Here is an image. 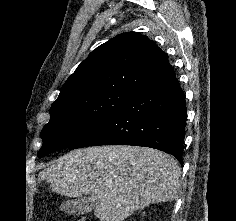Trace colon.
Instances as JSON below:
<instances>
[{
	"label": "colon",
	"mask_w": 236,
	"mask_h": 221,
	"mask_svg": "<svg viewBox=\"0 0 236 221\" xmlns=\"http://www.w3.org/2000/svg\"><path fill=\"white\" fill-rule=\"evenodd\" d=\"M71 221H91L90 219L86 218V217H81V218H76V219H73Z\"/></svg>",
	"instance_id": "obj_1"
}]
</instances>
